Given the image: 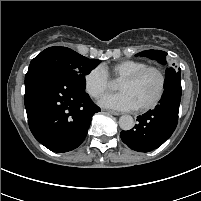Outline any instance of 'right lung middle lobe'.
Returning a JSON list of instances; mask_svg holds the SVG:
<instances>
[{
    "mask_svg": "<svg viewBox=\"0 0 201 201\" xmlns=\"http://www.w3.org/2000/svg\"><path fill=\"white\" fill-rule=\"evenodd\" d=\"M100 60L88 59L72 49L66 47H49L37 55L30 63L29 69L37 66H48L65 73L71 77L75 83L85 89V75L94 69Z\"/></svg>",
    "mask_w": 201,
    "mask_h": 201,
    "instance_id": "dd1d6c3e",
    "label": "right lung middle lobe"
}]
</instances>
